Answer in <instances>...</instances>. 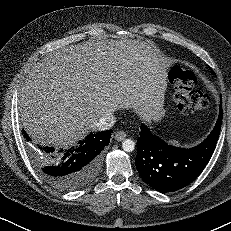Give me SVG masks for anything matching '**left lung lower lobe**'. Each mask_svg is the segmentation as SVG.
Here are the masks:
<instances>
[{"instance_id":"0a47b994","label":"left lung lower lobe","mask_w":231,"mask_h":231,"mask_svg":"<svg viewBox=\"0 0 231 231\" xmlns=\"http://www.w3.org/2000/svg\"><path fill=\"white\" fill-rule=\"evenodd\" d=\"M222 123V99L214 129L199 145L184 149L167 144L141 124L135 165L142 179L159 192H173L192 183L209 162Z\"/></svg>"}]
</instances>
